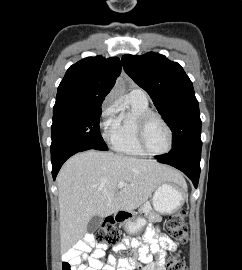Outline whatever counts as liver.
<instances>
[{
  "label": "liver",
  "instance_id": "liver-1",
  "mask_svg": "<svg viewBox=\"0 0 242 270\" xmlns=\"http://www.w3.org/2000/svg\"><path fill=\"white\" fill-rule=\"evenodd\" d=\"M119 182L126 186L117 189ZM164 182L186 185L179 172L153 160L95 150L72 156L57 177L62 248L85 235L93 216L131 212Z\"/></svg>",
  "mask_w": 242,
  "mask_h": 270
}]
</instances>
